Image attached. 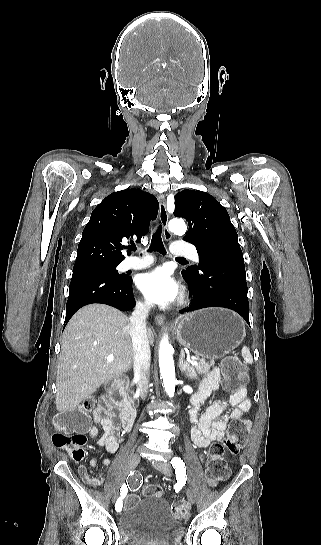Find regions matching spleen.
<instances>
[{"label":"spleen","instance_id":"spleen-1","mask_svg":"<svg viewBox=\"0 0 321 545\" xmlns=\"http://www.w3.org/2000/svg\"><path fill=\"white\" fill-rule=\"evenodd\" d=\"M241 355L245 361V363H253L252 355L248 349V347H243L241 351Z\"/></svg>","mask_w":321,"mask_h":545}]
</instances>
